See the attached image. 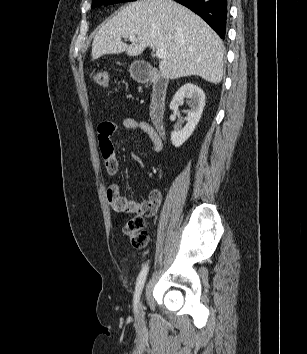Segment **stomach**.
Instances as JSON below:
<instances>
[{
  "mask_svg": "<svg viewBox=\"0 0 307 354\" xmlns=\"http://www.w3.org/2000/svg\"><path fill=\"white\" fill-rule=\"evenodd\" d=\"M130 73L131 75L134 77L136 75L135 69H134V65H131L130 67Z\"/></svg>",
  "mask_w": 307,
  "mask_h": 354,
  "instance_id": "0dacf381",
  "label": "stomach"
}]
</instances>
